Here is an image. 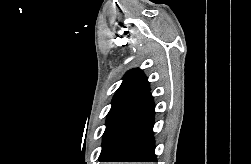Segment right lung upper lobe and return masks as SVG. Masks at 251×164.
I'll use <instances>...</instances> for the list:
<instances>
[{
	"label": "right lung upper lobe",
	"mask_w": 251,
	"mask_h": 164,
	"mask_svg": "<svg viewBox=\"0 0 251 164\" xmlns=\"http://www.w3.org/2000/svg\"><path fill=\"white\" fill-rule=\"evenodd\" d=\"M149 90L148 80L142 70L132 69L125 74L123 82L117 91H136L144 93Z\"/></svg>",
	"instance_id": "cb5924a9"
}]
</instances>
